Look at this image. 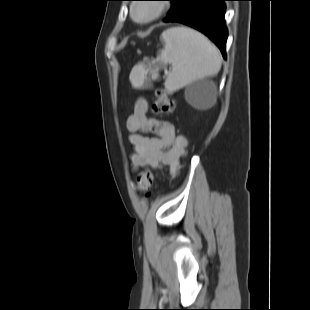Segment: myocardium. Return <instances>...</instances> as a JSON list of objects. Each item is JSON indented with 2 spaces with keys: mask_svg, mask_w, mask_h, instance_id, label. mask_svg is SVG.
Segmentation results:
<instances>
[{
  "mask_svg": "<svg viewBox=\"0 0 310 310\" xmlns=\"http://www.w3.org/2000/svg\"><path fill=\"white\" fill-rule=\"evenodd\" d=\"M146 6L149 7L150 13L145 17H138L136 11L138 8ZM165 11V5L161 2H151L147 4H133L130 8L132 19L137 23H150L158 19Z\"/></svg>",
  "mask_w": 310,
  "mask_h": 310,
  "instance_id": "obj_1",
  "label": "myocardium"
}]
</instances>
